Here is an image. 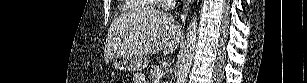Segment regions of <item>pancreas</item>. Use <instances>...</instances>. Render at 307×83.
Instances as JSON below:
<instances>
[{
  "instance_id": "cf45deb5",
  "label": "pancreas",
  "mask_w": 307,
  "mask_h": 83,
  "mask_svg": "<svg viewBox=\"0 0 307 83\" xmlns=\"http://www.w3.org/2000/svg\"><path fill=\"white\" fill-rule=\"evenodd\" d=\"M159 72H160L159 66L153 67L150 71V77L155 78Z\"/></svg>"
}]
</instances>
